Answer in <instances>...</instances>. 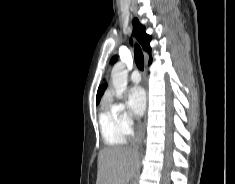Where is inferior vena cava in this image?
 Returning a JSON list of instances; mask_svg holds the SVG:
<instances>
[{
    "instance_id": "obj_1",
    "label": "inferior vena cava",
    "mask_w": 235,
    "mask_h": 184,
    "mask_svg": "<svg viewBox=\"0 0 235 184\" xmlns=\"http://www.w3.org/2000/svg\"><path fill=\"white\" fill-rule=\"evenodd\" d=\"M142 136H143L142 124L141 122H138V126L136 128V138L135 142H133V148H132V152H134V154H138V144L142 142Z\"/></svg>"
}]
</instances>
